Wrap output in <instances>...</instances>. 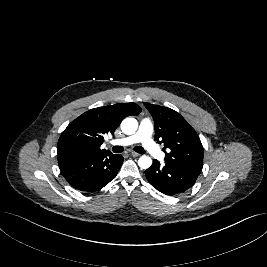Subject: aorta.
<instances>
[{"mask_svg": "<svg viewBox=\"0 0 267 267\" xmlns=\"http://www.w3.org/2000/svg\"><path fill=\"white\" fill-rule=\"evenodd\" d=\"M137 128L138 122L132 117L125 118L121 123V129L127 135L134 134ZM138 165L141 169H148L152 165V159L147 155H143L139 158Z\"/></svg>", "mask_w": 267, "mask_h": 267, "instance_id": "762f6f07", "label": "aorta"}]
</instances>
